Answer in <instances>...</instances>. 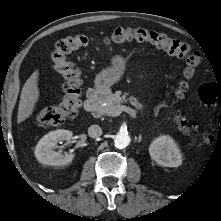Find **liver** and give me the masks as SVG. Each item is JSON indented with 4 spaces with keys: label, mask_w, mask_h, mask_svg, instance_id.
I'll use <instances>...</instances> for the list:
<instances>
[{
    "label": "liver",
    "mask_w": 221,
    "mask_h": 221,
    "mask_svg": "<svg viewBox=\"0 0 221 221\" xmlns=\"http://www.w3.org/2000/svg\"><path fill=\"white\" fill-rule=\"evenodd\" d=\"M38 75L39 72L35 71L22 88L17 115L18 123L23 122L33 113L39 98Z\"/></svg>",
    "instance_id": "liver-1"
}]
</instances>
